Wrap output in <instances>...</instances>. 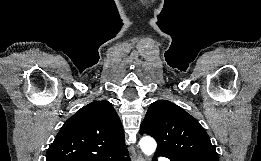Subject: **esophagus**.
I'll return each instance as SVG.
<instances>
[{
  "label": "esophagus",
  "mask_w": 261,
  "mask_h": 161,
  "mask_svg": "<svg viewBox=\"0 0 261 161\" xmlns=\"http://www.w3.org/2000/svg\"><path fill=\"white\" fill-rule=\"evenodd\" d=\"M132 161H145L144 157L139 154L136 159H133Z\"/></svg>",
  "instance_id": "1"
}]
</instances>
